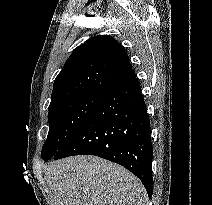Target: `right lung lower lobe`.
I'll list each match as a JSON object with an SVG mask.
<instances>
[{
    "instance_id": "98d812e1",
    "label": "right lung lower lobe",
    "mask_w": 212,
    "mask_h": 205,
    "mask_svg": "<svg viewBox=\"0 0 212 205\" xmlns=\"http://www.w3.org/2000/svg\"><path fill=\"white\" fill-rule=\"evenodd\" d=\"M151 127L134 70L114 81L83 125L54 160L73 155H96L118 163L153 192Z\"/></svg>"
}]
</instances>
